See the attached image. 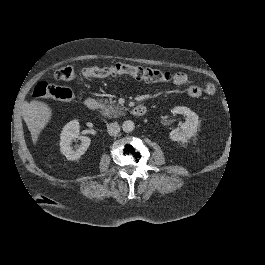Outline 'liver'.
I'll list each match as a JSON object with an SVG mask.
<instances>
[{
    "label": "liver",
    "mask_w": 265,
    "mask_h": 265,
    "mask_svg": "<svg viewBox=\"0 0 265 265\" xmlns=\"http://www.w3.org/2000/svg\"><path fill=\"white\" fill-rule=\"evenodd\" d=\"M23 114L31 134L32 143L37 145L41 133L53 118V108L43 100L33 99L26 101Z\"/></svg>",
    "instance_id": "1"
}]
</instances>
